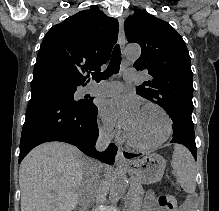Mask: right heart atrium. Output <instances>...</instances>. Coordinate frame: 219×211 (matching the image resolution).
Masks as SVG:
<instances>
[{"mask_svg":"<svg viewBox=\"0 0 219 211\" xmlns=\"http://www.w3.org/2000/svg\"><path fill=\"white\" fill-rule=\"evenodd\" d=\"M100 134L101 137L106 141L111 140L113 138H119V133L108 124H103L102 126H100Z\"/></svg>","mask_w":219,"mask_h":211,"instance_id":"d8ad5b80","label":"right heart atrium"}]
</instances>
